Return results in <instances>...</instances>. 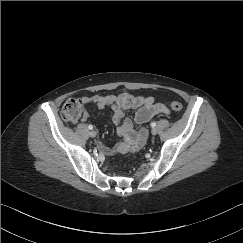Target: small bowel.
<instances>
[{
    "instance_id": "1",
    "label": "small bowel",
    "mask_w": 243,
    "mask_h": 243,
    "mask_svg": "<svg viewBox=\"0 0 243 243\" xmlns=\"http://www.w3.org/2000/svg\"><path fill=\"white\" fill-rule=\"evenodd\" d=\"M83 104H95L99 108H111L113 121L118 125L117 134L121 141L114 146L99 144V150L106 155L138 151L145 142V134L134 130L133 121L126 116V112L136 109L134 121L138 125L148 122L156 115H170L169 109L161 103L155 102L152 96H141L128 92L116 95H91L81 98ZM82 121L90 119V113L85 110L81 117Z\"/></svg>"
}]
</instances>
